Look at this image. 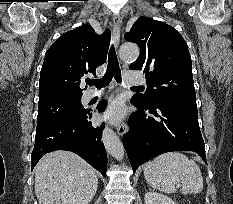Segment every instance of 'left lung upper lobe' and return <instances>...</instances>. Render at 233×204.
Listing matches in <instances>:
<instances>
[{"label": "left lung upper lobe", "mask_w": 233, "mask_h": 204, "mask_svg": "<svg viewBox=\"0 0 233 204\" xmlns=\"http://www.w3.org/2000/svg\"><path fill=\"white\" fill-rule=\"evenodd\" d=\"M125 39L141 49L130 68L142 70L148 86L133 100L142 105L162 98L196 102L190 54L178 31L160 21L140 17Z\"/></svg>", "instance_id": "obj_1"}]
</instances>
